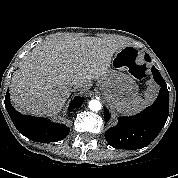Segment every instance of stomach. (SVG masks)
<instances>
[{
  "label": "stomach",
  "mask_w": 178,
  "mask_h": 178,
  "mask_svg": "<svg viewBox=\"0 0 178 178\" xmlns=\"http://www.w3.org/2000/svg\"><path fill=\"white\" fill-rule=\"evenodd\" d=\"M127 48H120L111 60L106 74L98 80V87L105 99L114 105L127 101L137 95L138 86L128 71L132 62Z\"/></svg>",
  "instance_id": "stomach-1"
}]
</instances>
